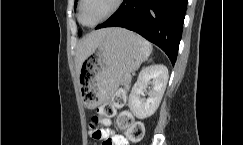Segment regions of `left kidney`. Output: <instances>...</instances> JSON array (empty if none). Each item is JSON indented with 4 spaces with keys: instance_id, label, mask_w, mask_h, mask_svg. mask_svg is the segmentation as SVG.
<instances>
[{
    "instance_id": "obj_1",
    "label": "left kidney",
    "mask_w": 243,
    "mask_h": 145,
    "mask_svg": "<svg viewBox=\"0 0 243 145\" xmlns=\"http://www.w3.org/2000/svg\"><path fill=\"white\" fill-rule=\"evenodd\" d=\"M168 69L164 65H153L139 73L128 99V106L134 116L145 119L152 116L162 100L168 82ZM151 85L147 99H141L144 91Z\"/></svg>"
}]
</instances>
